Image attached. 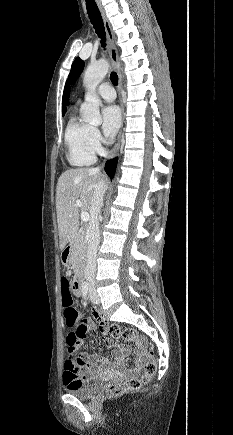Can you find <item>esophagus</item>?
<instances>
[{
    "label": "esophagus",
    "instance_id": "esophagus-1",
    "mask_svg": "<svg viewBox=\"0 0 233 435\" xmlns=\"http://www.w3.org/2000/svg\"><path fill=\"white\" fill-rule=\"evenodd\" d=\"M96 3H97V6L100 10L101 16L103 18L104 27H105L107 37H108L110 58H111L113 66H114V69L116 70V72L118 74V82H119L118 91H119V102H120V107H121V127H120V131H119V134L117 137V141L109 153V158H114L118 154V151L120 149V141H121V136H122V132H123V120H124V105H123V100H122L123 83H122L120 61H119V57H118V50H117V47L115 44V37H114V33L112 31L111 24H110L106 14H105V11H104L100 1L96 0Z\"/></svg>",
    "mask_w": 233,
    "mask_h": 435
}]
</instances>
